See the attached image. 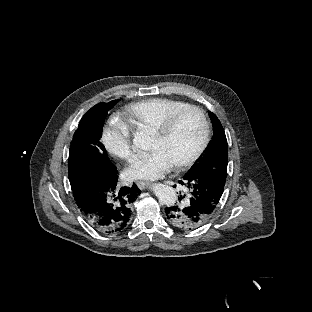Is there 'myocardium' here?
Returning <instances> with one entry per match:
<instances>
[{
	"mask_svg": "<svg viewBox=\"0 0 312 312\" xmlns=\"http://www.w3.org/2000/svg\"><path fill=\"white\" fill-rule=\"evenodd\" d=\"M192 118H195L197 127L200 131V150H197L194 157H191L189 161L183 160L182 162L172 163L170 165V170L172 172L187 171L190 166L196 167L198 165V161H203L205 159V154L210 152L212 125L209 123L205 112L197 107L179 109L170 114L169 117L165 119L164 123L161 124L160 129L158 130V136L160 138H165L167 134L170 133L174 125H176L179 121Z\"/></svg>",
	"mask_w": 312,
	"mask_h": 312,
	"instance_id": "myocardium-1",
	"label": "myocardium"
}]
</instances>
